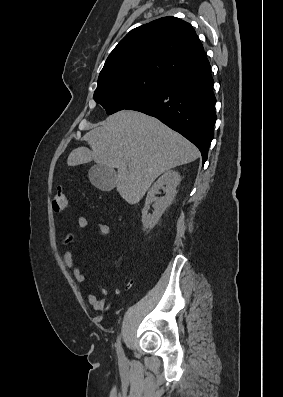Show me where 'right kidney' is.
<instances>
[{
  "instance_id": "right-kidney-1",
  "label": "right kidney",
  "mask_w": 283,
  "mask_h": 397,
  "mask_svg": "<svg viewBox=\"0 0 283 397\" xmlns=\"http://www.w3.org/2000/svg\"><path fill=\"white\" fill-rule=\"evenodd\" d=\"M181 178L177 171H167L153 184L146 197V206L142 211V224L144 229H152L159 221L166 208L172 203L176 196V188ZM163 190V197H156L159 190ZM153 204L154 211L149 214V205Z\"/></svg>"
}]
</instances>
